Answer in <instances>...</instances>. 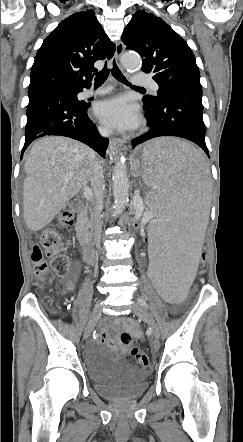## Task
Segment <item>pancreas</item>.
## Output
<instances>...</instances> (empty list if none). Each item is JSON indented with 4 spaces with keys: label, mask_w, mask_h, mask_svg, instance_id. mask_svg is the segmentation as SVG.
I'll use <instances>...</instances> for the list:
<instances>
[{
    "label": "pancreas",
    "mask_w": 243,
    "mask_h": 442,
    "mask_svg": "<svg viewBox=\"0 0 243 442\" xmlns=\"http://www.w3.org/2000/svg\"><path fill=\"white\" fill-rule=\"evenodd\" d=\"M92 231V219H87L78 224L77 236L81 242L85 241L87 238L91 237Z\"/></svg>",
    "instance_id": "cf45deb5"
}]
</instances>
